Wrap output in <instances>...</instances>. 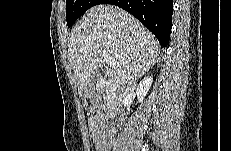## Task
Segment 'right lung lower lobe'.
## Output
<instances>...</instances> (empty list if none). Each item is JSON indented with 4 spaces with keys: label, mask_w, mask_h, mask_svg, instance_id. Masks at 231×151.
Here are the masks:
<instances>
[{
    "label": "right lung lower lobe",
    "mask_w": 231,
    "mask_h": 151,
    "mask_svg": "<svg viewBox=\"0 0 231 151\" xmlns=\"http://www.w3.org/2000/svg\"><path fill=\"white\" fill-rule=\"evenodd\" d=\"M100 4L121 7L136 17L166 47L171 33L173 0H102Z\"/></svg>",
    "instance_id": "98d812e1"
}]
</instances>
